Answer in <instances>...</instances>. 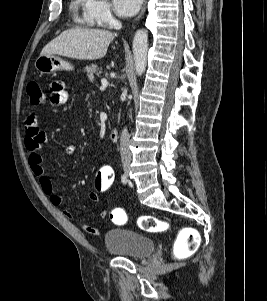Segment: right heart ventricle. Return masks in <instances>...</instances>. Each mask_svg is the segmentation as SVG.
I'll return each mask as SVG.
<instances>
[{
  "mask_svg": "<svg viewBox=\"0 0 267 301\" xmlns=\"http://www.w3.org/2000/svg\"><path fill=\"white\" fill-rule=\"evenodd\" d=\"M88 0H73L71 10L74 14L75 20L82 25H93L87 20Z\"/></svg>",
  "mask_w": 267,
  "mask_h": 301,
  "instance_id": "e07e8e85",
  "label": "right heart ventricle"
}]
</instances>
